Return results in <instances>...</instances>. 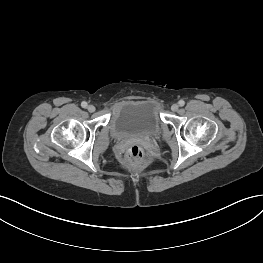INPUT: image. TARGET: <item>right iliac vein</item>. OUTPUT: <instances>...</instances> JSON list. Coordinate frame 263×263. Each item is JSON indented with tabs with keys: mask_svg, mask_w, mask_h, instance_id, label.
Masks as SVG:
<instances>
[{
	"mask_svg": "<svg viewBox=\"0 0 263 263\" xmlns=\"http://www.w3.org/2000/svg\"><path fill=\"white\" fill-rule=\"evenodd\" d=\"M87 109H88V111H89L90 113H92V112L95 111V107H94L93 105H89V106L87 107Z\"/></svg>",
	"mask_w": 263,
	"mask_h": 263,
	"instance_id": "right-iliac-vein-1",
	"label": "right iliac vein"
}]
</instances>
